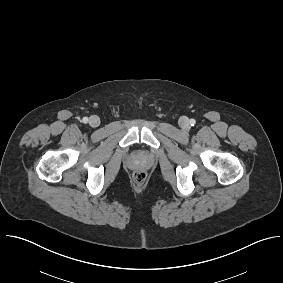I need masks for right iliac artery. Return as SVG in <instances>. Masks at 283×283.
<instances>
[{
	"label": "right iliac artery",
	"mask_w": 283,
	"mask_h": 283,
	"mask_svg": "<svg viewBox=\"0 0 283 283\" xmlns=\"http://www.w3.org/2000/svg\"><path fill=\"white\" fill-rule=\"evenodd\" d=\"M82 121H83V123H87V122H88V118H87V117H84V118L82 119Z\"/></svg>",
	"instance_id": "82829eb1"
}]
</instances>
